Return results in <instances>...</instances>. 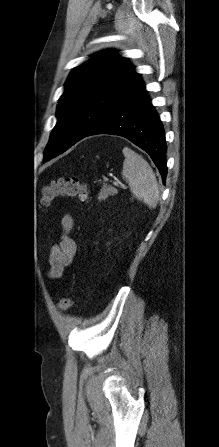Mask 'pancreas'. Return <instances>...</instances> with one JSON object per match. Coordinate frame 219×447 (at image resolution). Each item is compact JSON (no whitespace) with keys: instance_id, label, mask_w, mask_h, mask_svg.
Masks as SVG:
<instances>
[{"instance_id":"obj_1","label":"pancreas","mask_w":219,"mask_h":447,"mask_svg":"<svg viewBox=\"0 0 219 447\" xmlns=\"http://www.w3.org/2000/svg\"><path fill=\"white\" fill-rule=\"evenodd\" d=\"M115 194H117V190L114 187L103 185L98 194V200L99 201L106 200L109 196H113Z\"/></svg>"}]
</instances>
